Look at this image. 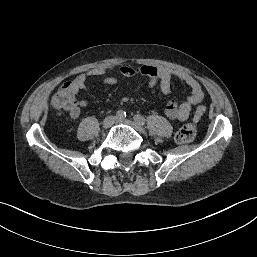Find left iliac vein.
Instances as JSON below:
<instances>
[{
    "label": "left iliac vein",
    "instance_id": "left-iliac-vein-1",
    "mask_svg": "<svg viewBox=\"0 0 257 257\" xmlns=\"http://www.w3.org/2000/svg\"><path fill=\"white\" fill-rule=\"evenodd\" d=\"M115 123L129 125L138 132H144V128L141 126V124L129 119H115Z\"/></svg>",
    "mask_w": 257,
    "mask_h": 257
}]
</instances>
